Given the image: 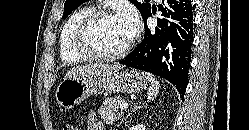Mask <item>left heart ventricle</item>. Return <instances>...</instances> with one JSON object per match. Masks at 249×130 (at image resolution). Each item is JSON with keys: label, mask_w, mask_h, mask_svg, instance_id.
<instances>
[{"label": "left heart ventricle", "mask_w": 249, "mask_h": 130, "mask_svg": "<svg viewBox=\"0 0 249 130\" xmlns=\"http://www.w3.org/2000/svg\"><path fill=\"white\" fill-rule=\"evenodd\" d=\"M90 45L102 53H116L131 39L125 23L119 15L97 21L89 31Z\"/></svg>", "instance_id": "left-heart-ventricle-1"}]
</instances>
